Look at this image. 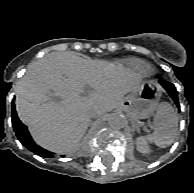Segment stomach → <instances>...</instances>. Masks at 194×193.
Listing matches in <instances>:
<instances>
[{
  "instance_id": "0dacf381",
  "label": "stomach",
  "mask_w": 194,
  "mask_h": 193,
  "mask_svg": "<svg viewBox=\"0 0 194 193\" xmlns=\"http://www.w3.org/2000/svg\"><path fill=\"white\" fill-rule=\"evenodd\" d=\"M160 88L155 81H143L140 86L123 99L120 107L137 119L149 117L158 106Z\"/></svg>"
}]
</instances>
